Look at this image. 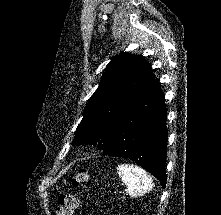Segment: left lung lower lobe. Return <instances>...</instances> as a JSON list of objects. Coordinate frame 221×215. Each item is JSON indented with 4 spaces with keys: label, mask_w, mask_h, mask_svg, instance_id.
Wrapping results in <instances>:
<instances>
[{
    "label": "left lung lower lobe",
    "mask_w": 221,
    "mask_h": 215,
    "mask_svg": "<svg viewBox=\"0 0 221 215\" xmlns=\"http://www.w3.org/2000/svg\"><path fill=\"white\" fill-rule=\"evenodd\" d=\"M166 106L158 79L118 122L104 155L129 158L157 178L165 187Z\"/></svg>",
    "instance_id": "obj_1"
}]
</instances>
